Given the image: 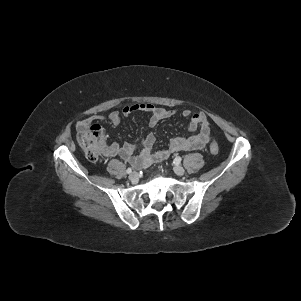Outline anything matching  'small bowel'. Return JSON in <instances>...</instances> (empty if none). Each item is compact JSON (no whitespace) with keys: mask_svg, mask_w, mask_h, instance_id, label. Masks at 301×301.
I'll return each mask as SVG.
<instances>
[{"mask_svg":"<svg viewBox=\"0 0 301 301\" xmlns=\"http://www.w3.org/2000/svg\"><path fill=\"white\" fill-rule=\"evenodd\" d=\"M135 112H143L149 116L148 124L155 127L161 121L180 115L189 118L188 130L191 133L188 136L173 137L167 149L154 150L155 136L148 134L140 143L139 148L129 142L122 144L112 142L104 147L103 155L106 157L119 156L134 167L149 166L153 163L162 162L170 155L191 150H201L209 142L210 124L204 113H192L186 109L178 111L175 109H166L157 107L150 103H135L123 107L121 111H113L107 117L102 115H93L77 123V129L100 120H108L113 126H119L121 116H129Z\"/></svg>","mask_w":301,"mask_h":301,"instance_id":"small-bowel-1","label":"small bowel"}]
</instances>
